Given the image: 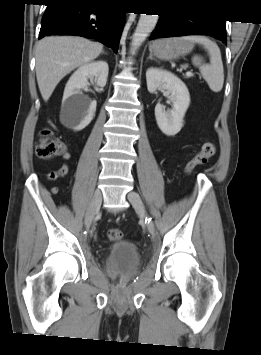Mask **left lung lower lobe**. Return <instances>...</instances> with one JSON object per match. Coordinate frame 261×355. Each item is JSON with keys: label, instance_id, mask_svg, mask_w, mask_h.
Returning <instances> with one entry per match:
<instances>
[{"label": "left lung lower lobe", "instance_id": "1", "mask_svg": "<svg viewBox=\"0 0 261 355\" xmlns=\"http://www.w3.org/2000/svg\"><path fill=\"white\" fill-rule=\"evenodd\" d=\"M181 35H208L226 44L225 20L161 15L150 39Z\"/></svg>", "mask_w": 261, "mask_h": 355}]
</instances>
